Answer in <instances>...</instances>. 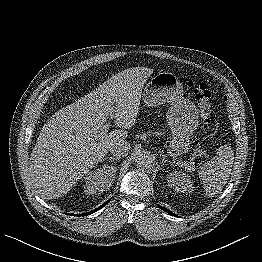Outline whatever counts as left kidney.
<instances>
[{"label":"left kidney","mask_w":262,"mask_h":262,"mask_svg":"<svg viewBox=\"0 0 262 262\" xmlns=\"http://www.w3.org/2000/svg\"><path fill=\"white\" fill-rule=\"evenodd\" d=\"M167 182L175 191L184 193L194 190L193 182L189 176L181 171H175L168 175Z\"/></svg>","instance_id":"5707ae66"}]
</instances>
